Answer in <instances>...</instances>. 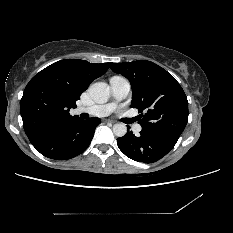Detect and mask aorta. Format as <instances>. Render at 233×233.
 Wrapping results in <instances>:
<instances>
[{
    "label": "aorta",
    "mask_w": 233,
    "mask_h": 233,
    "mask_svg": "<svg viewBox=\"0 0 233 233\" xmlns=\"http://www.w3.org/2000/svg\"><path fill=\"white\" fill-rule=\"evenodd\" d=\"M88 93L90 97L97 103H105L110 96V88L104 82H96L92 84ZM127 132V127L124 123H117L113 126V133L118 137H123Z\"/></svg>",
    "instance_id": "aorta-1"
}]
</instances>
